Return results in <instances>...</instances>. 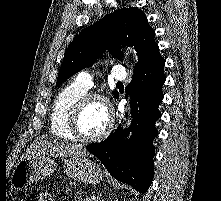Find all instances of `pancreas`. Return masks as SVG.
Listing matches in <instances>:
<instances>
[{
  "label": "pancreas",
  "mask_w": 221,
  "mask_h": 201,
  "mask_svg": "<svg viewBox=\"0 0 221 201\" xmlns=\"http://www.w3.org/2000/svg\"><path fill=\"white\" fill-rule=\"evenodd\" d=\"M77 199H78V201H85V199L84 200L81 199V196L78 193H77Z\"/></svg>",
  "instance_id": "pancreas-1"
}]
</instances>
